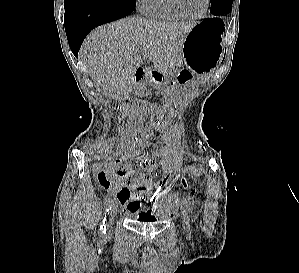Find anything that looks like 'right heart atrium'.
<instances>
[{"label":"right heart atrium","mask_w":299,"mask_h":273,"mask_svg":"<svg viewBox=\"0 0 299 273\" xmlns=\"http://www.w3.org/2000/svg\"><path fill=\"white\" fill-rule=\"evenodd\" d=\"M146 0H137L139 8L142 10Z\"/></svg>","instance_id":"right-heart-atrium-1"}]
</instances>
